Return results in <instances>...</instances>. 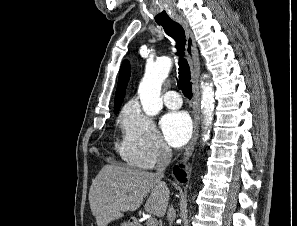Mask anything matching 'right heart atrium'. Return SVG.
I'll list each match as a JSON object with an SVG mask.
<instances>
[{"label":"right heart atrium","mask_w":297,"mask_h":226,"mask_svg":"<svg viewBox=\"0 0 297 226\" xmlns=\"http://www.w3.org/2000/svg\"><path fill=\"white\" fill-rule=\"evenodd\" d=\"M121 156L132 166L152 169L168 161L171 150L161 137L154 121L139 107L129 105L121 118Z\"/></svg>","instance_id":"d8ad5b80"}]
</instances>
